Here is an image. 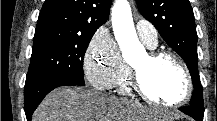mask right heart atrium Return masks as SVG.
I'll return each instance as SVG.
<instances>
[{
	"label": "right heart atrium",
	"mask_w": 217,
	"mask_h": 121,
	"mask_svg": "<svg viewBox=\"0 0 217 121\" xmlns=\"http://www.w3.org/2000/svg\"><path fill=\"white\" fill-rule=\"evenodd\" d=\"M83 63L88 82L100 90L114 87L127 71L116 42L104 32L92 38Z\"/></svg>",
	"instance_id": "d8ad5b80"
}]
</instances>
